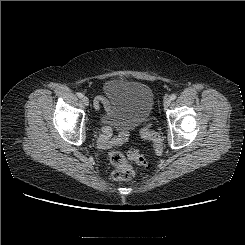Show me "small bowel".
I'll list each match as a JSON object with an SVG mask.
<instances>
[{
    "instance_id": "small-bowel-1",
    "label": "small bowel",
    "mask_w": 245,
    "mask_h": 245,
    "mask_svg": "<svg viewBox=\"0 0 245 245\" xmlns=\"http://www.w3.org/2000/svg\"><path fill=\"white\" fill-rule=\"evenodd\" d=\"M107 102L108 101L105 98L98 97L94 100V106L96 109H99L101 105L105 106ZM111 134L112 130L109 127H102L101 134L98 138V146L102 151H107L113 147L122 145L127 139L129 131L127 128L123 129L116 137L112 139L110 138Z\"/></svg>"
}]
</instances>
